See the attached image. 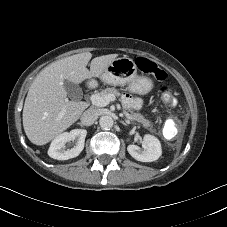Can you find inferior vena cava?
<instances>
[{
    "mask_svg": "<svg viewBox=\"0 0 227 227\" xmlns=\"http://www.w3.org/2000/svg\"><path fill=\"white\" fill-rule=\"evenodd\" d=\"M98 115L95 109H88L81 116V123L83 126H90L97 120Z\"/></svg>",
    "mask_w": 227,
    "mask_h": 227,
    "instance_id": "1",
    "label": "inferior vena cava"
}]
</instances>
